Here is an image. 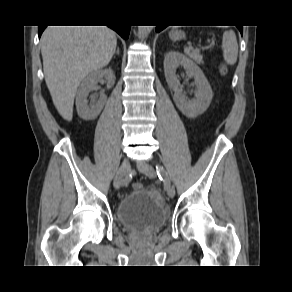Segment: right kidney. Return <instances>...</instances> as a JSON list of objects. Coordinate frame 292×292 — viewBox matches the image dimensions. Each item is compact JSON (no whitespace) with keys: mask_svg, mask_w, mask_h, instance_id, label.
Listing matches in <instances>:
<instances>
[{"mask_svg":"<svg viewBox=\"0 0 292 292\" xmlns=\"http://www.w3.org/2000/svg\"><path fill=\"white\" fill-rule=\"evenodd\" d=\"M105 78L107 87L110 88L115 83V75L112 69L96 70L91 72L83 81L77 91L76 108L78 115L84 120H94L104 107L106 96L101 95L99 100L91 99L88 104L87 97L90 91L96 89L100 79Z\"/></svg>","mask_w":292,"mask_h":292,"instance_id":"obj_1","label":"right kidney"}]
</instances>
